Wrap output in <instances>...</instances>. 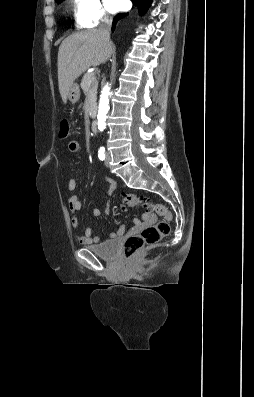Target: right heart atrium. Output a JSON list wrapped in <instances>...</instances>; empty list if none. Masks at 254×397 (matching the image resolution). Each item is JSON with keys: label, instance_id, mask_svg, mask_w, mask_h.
<instances>
[{"label": "right heart atrium", "instance_id": "obj_1", "mask_svg": "<svg viewBox=\"0 0 254 397\" xmlns=\"http://www.w3.org/2000/svg\"><path fill=\"white\" fill-rule=\"evenodd\" d=\"M75 19L81 28H93L110 20L100 0H75Z\"/></svg>", "mask_w": 254, "mask_h": 397}]
</instances>
